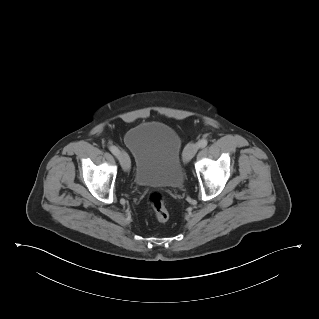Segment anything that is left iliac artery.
Masks as SVG:
<instances>
[{
	"instance_id": "obj_1",
	"label": "left iliac artery",
	"mask_w": 319,
	"mask_h": 319,
	"mask_svg": "<svg viewBox=\"0 0 319 319\" xmlns=\"http://www.w3.org/2000/svg\"><path fill=\"white\" fill-rule=\"evenodd\" d=\"M207 144H208V141H207V139H201L199 142H198V146H199V148H204V147H206L207 146Z\"/></svg>"
}]
</instances>
